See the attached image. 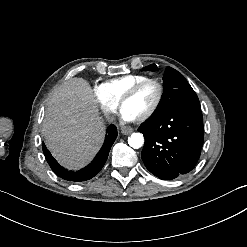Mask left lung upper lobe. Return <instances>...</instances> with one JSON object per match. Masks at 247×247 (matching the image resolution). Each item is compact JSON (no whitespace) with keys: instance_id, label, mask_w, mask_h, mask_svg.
Here are the masks:
<instances>
[{"instance_id":"left-lung-upper-lobe-1","label":"left lung upper lobe","mask_w":247,"mask_h":247,"mask_svg":"<svg viewBox=\"0 0 247 247\" xmlns=\"http://www.w3.org/2000/svg\"><path fill=\"white\" fill-rule=\"evenodd\" d=\"M144 71H155V64L143 68ZM164 94L162 100L151 117L161 115L162 113L177 107H200L199 99L184 76L171 67H167L164 76Z\"/></svg>"}]
</instances>
